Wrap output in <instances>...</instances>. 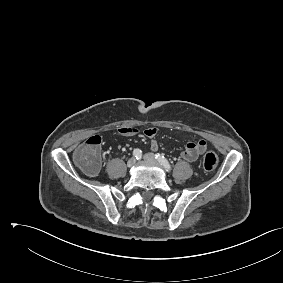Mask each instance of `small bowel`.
<instances>
[{"mask_svg": "<svg viewBox=\"0 0 283 283\" xmlns=\"http://www.w3.org/2000/svg\"><path fill=\"white\" fill-rule=\"evenodd\" d=\"M118 131L120 134L125 136H133L142 132L146 137L151 138V149L153 151H156L158 149V143L155 140V137L158 133V130L156 128L151 127L140 131L135 127H122ZM207 147L208 145L205 140L190 142L182 151L181 157L188 162H194L199 158L201 154H203L207 150Z\"/></svg>", "mask_w": 283, "mask_h": 283, "instance_id": "1", "label": "small bowel"}]
</instances>
